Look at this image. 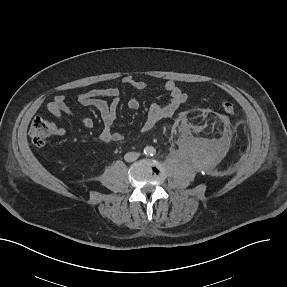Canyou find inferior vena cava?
Listing matches in <instances>:
<instances>
[{
    "label": "inferior vena cava",
    "mask_w": 287,
    "mask_h": 287,
    "mask_svg": "<svg viewBox=\"0 0 287 287\" xmlns=\"http://www.w3.org/2000/svg\"><path fill=\"white\" fill-rule=\"evenodd\" d=\"M140 154L136 152H128L125 154L124 159L127 162H133L139 158Z\"/></svg>",
    "instance_id": "1"
}]
</instances>
